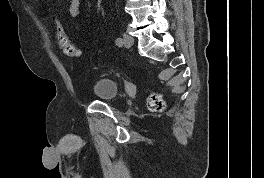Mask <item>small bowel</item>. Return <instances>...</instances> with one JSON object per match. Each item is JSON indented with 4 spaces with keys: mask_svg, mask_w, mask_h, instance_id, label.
Segmentation results:
<instances>
[{
    "mask_svg": "<svg viewBox=\"0 0 264 178\" xmlns=\"http://www.w3.org/2000/svg\"><path fill=\"white\" fill-rule=\"evenodd\" d=\"M68 11L72 18L78 17L80 14V0H70Z\"/></svg>",
    "mask_w": 264,
    "mask_h": 178,
    "instance_id": "small-bowel-1",
    "label": "small bowel"
}]
</instances>
